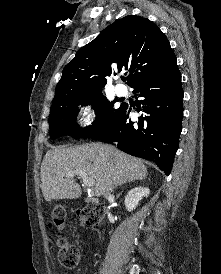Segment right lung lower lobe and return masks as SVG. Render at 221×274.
<instances>
[{
  "label": "right lung lower lobe",
  "mask_w": 221,
  "mask_h": 274,
  "mask_svg": "<svg viewBox=\"0 0 221 274\" xmlns=\"http://www.w3.org/2000/svg\"><path fill=\"white\" fill-rule=\"evenodd\" d=\"M132 88L138 121L126 116L122 104L115 118L90 138L115 143L136 157L144 158L169 175L179 145L183 117V89L176 58L165 67L137 81Z\"/></svg>",
  "instance_id": "1"
}]
</instances>
